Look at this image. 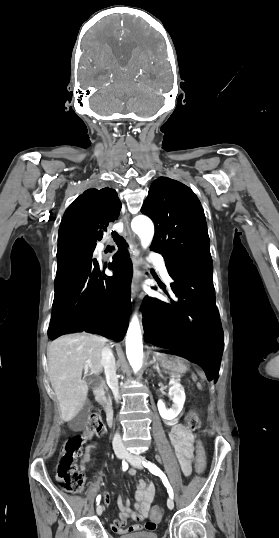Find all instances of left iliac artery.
Here are the masks:
<instances>
[{
  "instance_id": "left-iliac-artery-1",
  "label": "left iliac artery",
  "mask_w": 279,
  "mask_h": 538,
  "mask_svg": "<svg viewBox=\"0 0 279 538\" xmlns=\"http://www.w3.org/2000/svg\"><path fill=\"white\" fill-rule=\"evenodd\" d=\"M143 465L154 475H157L161 478L163 484L165 485V487L167 488V492L169 494V496L171 498L174 497V494H173V489L172 487L170 486L169 482H168V479L166 477V475L164 474V472L162 470H160L154 463L150 462V461H143Z\"/></svg>"
}]
</instances>
